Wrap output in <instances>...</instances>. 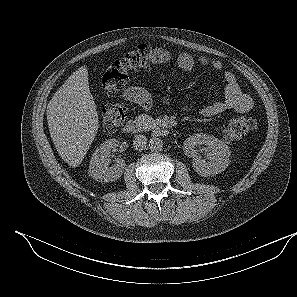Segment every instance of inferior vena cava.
Here are the masks:
<instances>
[{
  "mask_svg": "<svg viewBox=\"0 0 297 297\" xmlns=\"http://www.w3.org/2000/svg\"><path fill=\"white\" fill-rule=\"evenodd\" d=\"M147 137L144 135H136L133 140V147L137 151H143L147 147Z\"/></svg>",
  "mask_w": 297,
  "mask_h": 297,
  "instance_id": "602c4592",
  "label": "inferior vena cava"
}]
</instances>
